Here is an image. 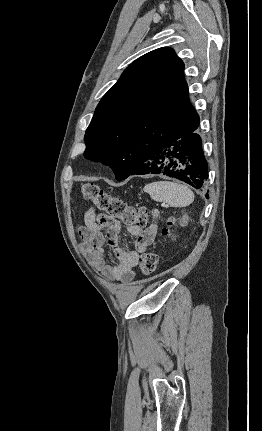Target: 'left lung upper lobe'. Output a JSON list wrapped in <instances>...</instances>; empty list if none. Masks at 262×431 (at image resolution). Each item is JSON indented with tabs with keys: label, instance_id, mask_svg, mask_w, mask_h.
<instances>
[{
	"label": "left lung upper lobe",
	"instance_id": "5c2ea615",
	"mask_svg": "<svg viewBox=\"0 0 262 431\" xmlns=\"http://www.w3.org/2000/svg\"><path fill=\"white\" fill-rule=\"evenodd\" d=\"M184 63L173 49L153 50L130 64L99 102L86 130L84 156L126 179L137 159L196 122Z\"/></svg>",
	"mask_w": 262,
	"mask_h": 431
}]
</instances>
